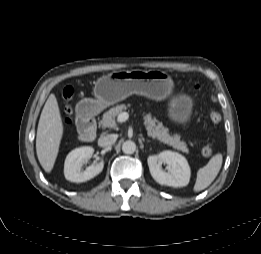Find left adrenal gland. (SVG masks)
<instances>
[{
  "label": "left adrenal gland",
  "instance_id": "left-adrenal-gland-1",
  "mask_svg": "<svg viewBox=\"0 0 261 254\" xmlns=\"http://www.w3.org/2000/svg\"><path fill=\"white\" fill-rule=\"evenodd\" d=\"M142 140L145 142V139H144V138H142ZM146 142L149 143V142H151V141H150V140H147Z\"/></svg>",
  "mask_w": 261,
  "mask_h": 254
}]
</instances>
